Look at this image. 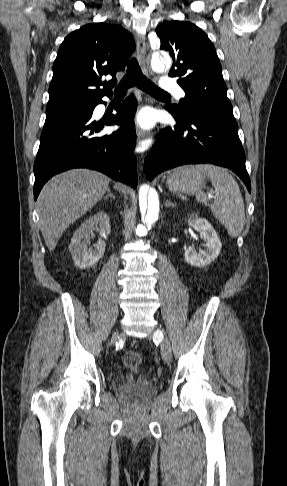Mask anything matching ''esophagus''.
Listing matches in <instances>:
<instances>
[{"label":"esophagus","instance_id":"34e87169","mask_svg":"<svg viewBox=\"0 0 287 486\" xmlns=\"http://www.w3.org/2000/svg\"><path fill=\"white\" fill-rule=\"evenodd\" d=\"M137 46H138V57L140 60V64L142 66V70L145 75L150 76L151 71L146 64V42H145V37L142 34L137 35ZM136 134L139 140L146 136V133L141 129H137Z\"/></svg>","mask_w":287,"mask_h":486}]
</instances>
